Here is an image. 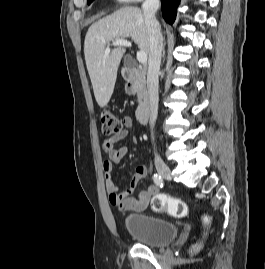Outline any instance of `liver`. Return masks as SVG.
<instances>
[{
    "label": "liver",
    "mask_w": 265,
    "mask_h": 269,
    "mask_svg": "<svg viewBox=\"0 0 265 269\" xmlns=\"http://www.w3.org/2000/svg\"><path fill=\"white\" fill-rule=\"evenodd\" d=\"M131 38L149 55L150 36L145 17L137 7H123L93 23L86 34L84 55L98 105L105 107L114 90L117 70L126 49L114 48L105 54L106 46L116 40Z\"/></svg>",
    "instance_id": "6515ba94"
}]
</instances>
